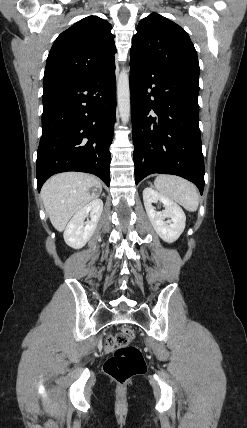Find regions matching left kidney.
<instances>
[{
	"mask_svg": "<svg viewBox=\"0 0 247 428\" xmlns=\"http://www.w3.org/2000/svg\"><path fill=\"white\" fill-rule=\"evenodd\" d=\"M143 201L148 218L156 233L165 242L173 243L176 241L185 228L186 216L182 208L151 187L143 190ZM158 201L164 205L163 211H156L152 205ZM166 218H170V220L165 221Z\"/></svg>",
	"mask_w": 247,
	"mask_h": 428,
	"instance_id": "1",
	"label": "left kidney"
}]
</instances>
